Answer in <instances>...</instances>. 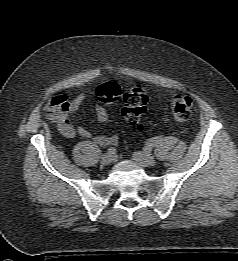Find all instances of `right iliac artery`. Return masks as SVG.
<instances>
[{
	"instance_id": "obj_1",
	"label": "right iliac artery",
	"mask_w": 238,
	"mask_h": 261,
	"mask_svg": "<svg viewBox=\"0 0 238 261\" xmlns=\"http://www.w3.org/2000/svg\"><path fill=\"white\" fill-rule=\"evenodd\" d=\"M108 152H109L110 154H115V153H116V149L113 148V147H111V148L108 149Z\"/></svg>"
}]
</instances>
